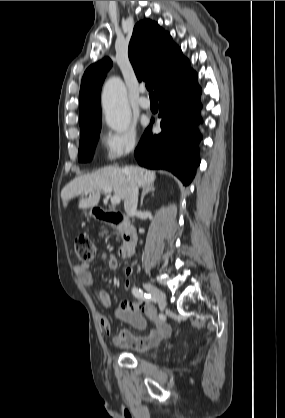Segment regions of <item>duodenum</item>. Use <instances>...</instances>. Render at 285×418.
Wrapping results in <instances>:
<instances>
[{
    "label": "duodenum",
    "instance_id": "410a0bca",
    "mask_svg": "<svg viewBox=\"0 0 285 418\" xmlns=\"http://www.w3.org/2000/svg\"><path fill=\"white\" fill-rule=\"evenodd\" d=\"M94 217L113 225L121 233L123 245L119 249V254L124 259L130 258L137 243V233L133 226L125 221L124 214L114 210L95 208Z\"/></svg>",
    "mask_w": 285,
    "mask_h": 418
}]
</instances>
